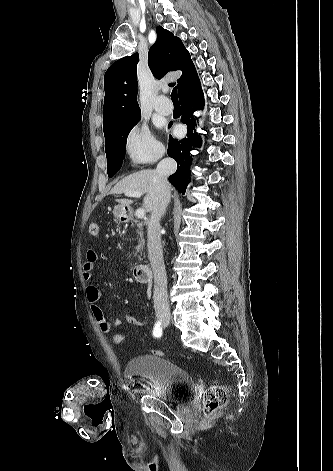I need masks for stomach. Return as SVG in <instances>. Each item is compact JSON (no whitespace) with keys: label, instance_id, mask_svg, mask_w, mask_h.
Returning <instances> with one entry per match:
<instances>
[{"label":"stomach","instance_id":"1","mask_svg":"<svg viewBox=\"0 0 333 471\" xmlns=\"http://www.w3.org/2000/svg\"><path fill=\"white\" fill-rule=\"evenodd\" d=\"M127 207L123 205H117L113 209V215L116 220L118 221H123L125 220V213H126Z\"/></svg>","mask_w":333,"mask_h":471}]
</instances>
